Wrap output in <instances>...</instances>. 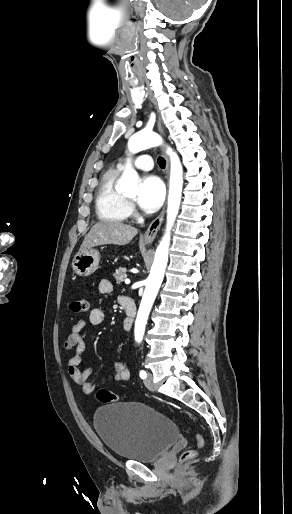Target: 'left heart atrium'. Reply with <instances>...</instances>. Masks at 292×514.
<instances>
[{
  "mask_svg": "<svg viewBox=\"0 0 292 514\" xmlns=\"http://www.w3.org/2000/svg\"><path fill=\"white\" fill-rule=\"evenodd\" d=\"M164 196L165 187L161 178L156 175H148L141 180L136 202L142 210L154 212L161 206Z\"/></svg>",
  "mask_w": 292,
  "mask_h": 514,
  "instance_id": "39dd6f15",
  "label": "left heart atrium"
}]
</instances>
